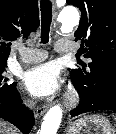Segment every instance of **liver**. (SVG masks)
Here are the masks:
<instances>
[{
    "label": "liver",
    "mask_w": 116,
    "mask_h": 134,
    "mask_svg": "<svg viewBox=\"0 0 116 134\" xmlns=\"http://www.w3.org/2000/svg\"><path fill=\"white\" fill-rule=\"evenodd\" d=\"M0 134H17V130L6 122L0 121Z\"/></svg>",
    "instance_id": "6515ba94"
}]
</instances>
